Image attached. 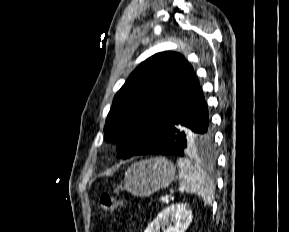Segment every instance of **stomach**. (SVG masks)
Instances as JSON below:
<instances>
[{
  "label": "stomach",
  "instance_id": "1",
  "mask_svg": "<svg viewBox=\"0 0 289 232\" xmlns=\"http://www.w3.org/2000/svg\"><path fill=\"white\" fill-rule=\"evenodd\" d=\"M174 177V165L163 157L139 161L128 168L124 185L117 186L115 192L126 190L134 196L147 197L168 187Z\"/></svg>",
  "mask_w": 289,
  "mask_h": 232
}]
</instances>
